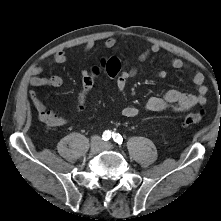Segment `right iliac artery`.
Here are the masks:
<instances>
[{
	"mask_svg": "<svg viewBox=\"0 0 221 221\" xmlns=\"http://www.w3.org/2000/svg\"><path fill=\"white\" fill-rule=\"evenodd\" d=\"M102 137H103L102 139H103L104 141L109 140V139L111 138V132H110V131H105V132L103 133Z\"/></svg>",
	"mask_w": 221,
	"mask_h": 221,
	"instance_id": "82829eb1",
	"label": "right iliac artery"
}]
</instances>
